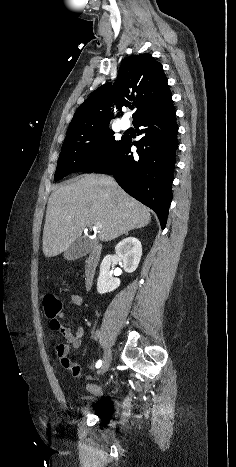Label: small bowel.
Here are the masks:
<instances>
[{
    "instance_id": "c3829d8e",
    "label": "small bowel",
    "mask_w": 236,
    "mask_h": 467,
    "mask_svg": "<svg viewBox=\"0 0 236 467\" xmlns=\"http://www.w3.org/2000/svg\"><path fill=\"white\" fill-rule=\"evenodd\" d=\"M83 303V299L79 294L72 293L70 295L68 306H80ZM65 318V313L61 312L56 317H50L48 320V326L52 331H58L62 334L65 341L60 343L56 347V355L64 369L69 371L75 377L82 376V370L79 364L73 362L70 359V352L73 349L80 347L82 338L84 336V328L82 326L77 327L75 331L63 326L60 322L61 319ZM86 389L96 395H102V390L99 386L94 384H88Z\"/></svg>"
}]
</instances>
